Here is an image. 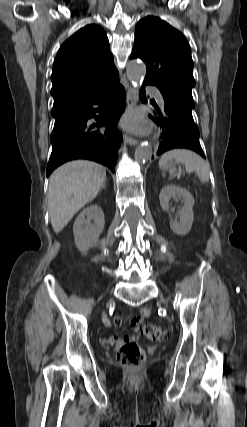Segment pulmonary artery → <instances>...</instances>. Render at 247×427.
I'll return each mask as SVG.
<instances>
[{
    "mask_svg": "<svg viewBox=\"0 0 247 427\" xmlns=\"http://www.w3.org/2000/svg\"><path fill=\"white\" fill-rule=\"evenodd\" d=\"M148 89L155 96V98L157 99V101L159 102V104L161 106H164V100H163V97H162V94L160 93V91L157 88H154V87H150Z\"/></svg>",
    "mask_w": 247,
    "mask_h": 427,
    "instance_id": "obj_1",
    "label": "pulmonary artery"
}]
</instances>
